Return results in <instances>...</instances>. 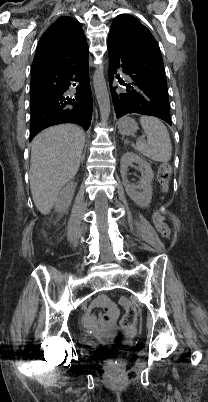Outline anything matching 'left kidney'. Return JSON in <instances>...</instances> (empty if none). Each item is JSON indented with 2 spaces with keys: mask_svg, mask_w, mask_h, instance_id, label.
Instances as JSON below:
<instances>
[{
  "mask_svg": "<svg viewBox=\"0 0 208 402\" xmlns=\"http://www.w3.org/2000/svg\"><path fill=\"white\" fill-rule=\"evenodd\" d=\"M132 162H134V164H138L140 168L141 178L140 182H138V186H135V184H130V182L127 180L128 166H132ZM120 172L129 198H131V200H133L137 206H140V208H148L152 200L153 190L151 182L154 178L153 170L150 164L145 162V160L140 158V156H137V154H134V152H126V154H123L121 158ZM137 190H141V192H137Z\"/></svg>",
  "mask_w": 208,
  "mask_h": 402,
  "instance_id": "left-kidney-1",
  "label": "left kidney"
}]
</instances>
